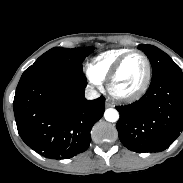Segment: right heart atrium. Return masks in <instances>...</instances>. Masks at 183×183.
<instances>
[{
    "label": "right heart atrium",
    "instance_id": "d8ad5b80",
    "mask_svg": "<svg viewBox=\"0 0 183 183\" xmlns=\"http://www.w3.org/2000/svg\"><path fill=\"white\" fill-rule=\"evenodd\" d=\"M87 75L92 83L98 84L99 80L91 73L90 69L87 70Z\"/></svg>",
    "mask_w": 183,
    "mask_h": 183
}]
</instances>
